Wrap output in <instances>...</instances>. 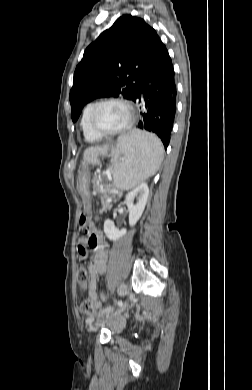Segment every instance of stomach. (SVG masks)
Returning a JSON list of instances; mask_svg holds the SVG:
<instances>
[{
    "instance_id": "0dacf381",
    "label": "stomach",
    "mask_w": 252,
    "mask_h": 390,
    "mask_svg": "<svg viewBox=\"0 0 252 390\" xmlns=\"http://www.w3.org/2000/svg\"><path fill=\"white\" fill-rule=\"evenodd\" d=\"M116 149H113L114 154ZM107 152L104 149L87 151L84 155V168L81 172L79 186L84 203V209L80 215V222L87 223L90 220V193H89V166L100 164V156H105Z\"/></svg>"
}]
</instances>
